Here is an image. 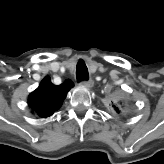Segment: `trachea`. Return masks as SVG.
<instances>
[{"mask_svg":"<svg viewBox=\"0 0 164 164\" xmlns=\"http://www.w3.org/2000/svg\"><path fill=\"white\" fill-rule=\"evenodd\" d=\"M88 69L83 60H80L76 66V78L78 82L85 81L88 79Z\"/></svg>","mask_w":164,"mask_h":164,"instance_id":"3493384b","label":"trachea"}]
</instances>
